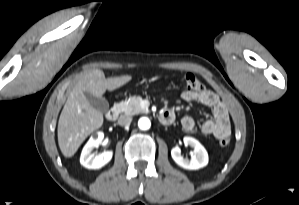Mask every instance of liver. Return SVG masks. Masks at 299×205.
I'll use <instances>...</instances> for the list:
<instances>
[{
  "mask_svg": "<svg viewBox=\"0 0 299 205\" xmlns=\"http://www.w3.org/2000/svg\"><path fill=\"white\" fill-rule=\"evenodd\" d=\"M132 79L130 75L105 78L100 69L85 73L71 90L58 121V144L65 157H72L83 141L103 124V114L87 100L85 92L100 98Z\"/></svg>",
  "mask_w": 299,
  "mask_h": 205,
  "instance_id": "liver-1",
  "label": "liver"
}]
</instances>
